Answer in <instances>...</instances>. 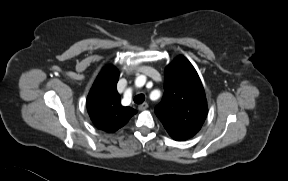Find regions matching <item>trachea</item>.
Listing matches in <instances>:
<instances>
[{
	"label": "trachea",
	"instance_id": "trachea-1",
	"mask_svg": "<svg viewBox=\"0 0 288 181\" xmlns=\"http://www.w3.org/2000/svg\"><path fill=\"white\" fill-rule=\"evenodd\" d=\"M144 100H145V95H144V94H138V95H136V96L134 97V102H135L136 104H141V103L144 102Z\"/></svg>",
	"mask_w": 288,
	"mask_h": 181
}]
</instances>
